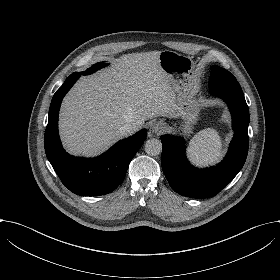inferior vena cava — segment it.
<instances>
[{"mask_svg":"<svg viewBox=\"0 0 280 280\" xmlns=\"http://www.w3.org/2000/svg\"><path fill=\"white\" fill-rule=\"evenodd\" d=\"M140 129L137 125H132L131 123H127L119 128L118 134L121 138H126L130 135H133L136 131Z\"/></svg>","mask_w":280,"mask_h":280,"instance_id":"1","label":"inferior vena cava"}]
</instances>
